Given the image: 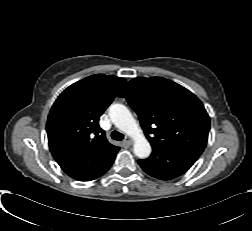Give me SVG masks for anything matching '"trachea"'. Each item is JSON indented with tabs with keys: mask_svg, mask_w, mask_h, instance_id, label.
Listing matches in <instances>:
<instances>
[{
	"mask_svg": "<svg viewBox=\"0 0 252 231\" xmlns=\"http://www.w3.org/2000/svg\"><path fill=\"white\" fill-rule=\"evenodd\" d=\"M111 137L112 139L117 140V141H121L124 139V135L118 131H113L111 133Z\"/></svg>",
	"mask_w": 252,
	"mask_h": 231,
	"instance_id": "obj_1",
	"label": "trachea"
}]
</instances>
